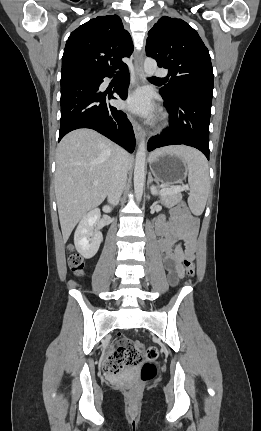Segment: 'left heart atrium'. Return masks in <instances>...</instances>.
Returning a JSON list of instances; mask_svg holds the SVG:
<instances>
[{
  "label": "left heart atrium",
  "mask_w": 261,
  "mask_h": 431,
  "mask_svg": "<svg viewBox=\"0 0 261 431\" xmlns=\"http://www.w3.org/2000/svg\"><path fill=\"white\" fill-rule=\"evenodd\" d=\"M125 106L139 113H148L152 109L149 95L143 90L133 93L126 101Z\"/></svg>",
  "instance_id": "39dd6f15"
}]
</instances>
